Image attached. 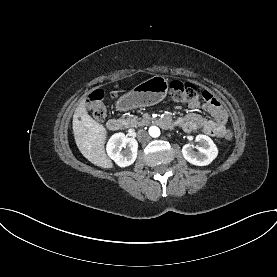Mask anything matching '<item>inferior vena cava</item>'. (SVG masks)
<instances>
[{
  "label": "inferior vena cava",
  "mask_w": 277,
  "mask_h": 277,
  "mask_svg": "<svg viewBox=\"0 0 277 277\" xmlns=\"http://www.w3.org/2000/svg\"><path fill=\"white\" fill-rule=\"evenodd\" d=\"M137 138L140 142H148L150 140V136L145 130H139L137 132Z\"/></svg>",
  "instance_id": "602c4592"
}]
</instances>
